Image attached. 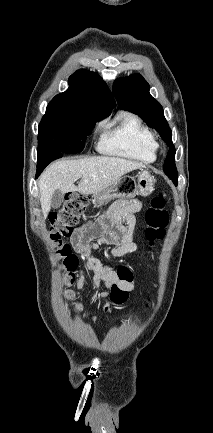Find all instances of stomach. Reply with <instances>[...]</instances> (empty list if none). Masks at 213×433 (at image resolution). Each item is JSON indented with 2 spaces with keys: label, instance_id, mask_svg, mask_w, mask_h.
<instances>
[{
  "label": "stomach",
  "instance_id": "1",
  "mask_svg": "<svg viewBox=\"0 0 213 433\" xmlns=\"http://www.w3.org/2000/svg\"><path fill=\"white\" fill-rule=\"evenodd\" d=\"M155 179L148 171H142L137 179L123 176L98 194H92V202L104 205L116 198L128 200L136 196H148L154 191Z\"/></svg>",
  "mask_w": 213,
  "mask_h": 433
}]
</instances>
